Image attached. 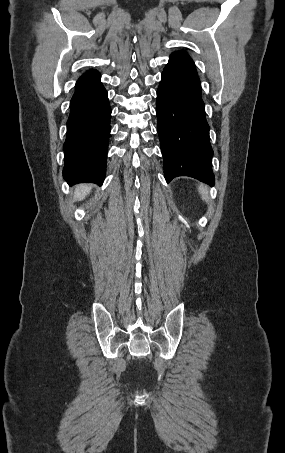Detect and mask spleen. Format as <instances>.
<instances>
[{"mask_svg": "<svg viewBox=\"0 0 285 453\" xmlns=\"http://www.w3.org/2000/svg\"><path fill=\"white\" fill-rule=\"evenodd\" d=\"M199 193L205 202L208 201V190L207 187L203 186L202 184L198 186Z\"/></svg>", "mask_w": 285, "mask_h": 453, "instance_id": "1", "label": "spleen"}]
</instances>
